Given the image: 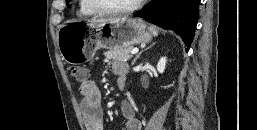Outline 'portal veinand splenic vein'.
<instances>
[{
	"mask_svg": "<svg viewBox=\"0 0 257 130\" xmlns=\"http://www.w3.org/2000/svg\"><path fill=\"white\" fill-rule=\"evenodd\" d=\"M138 52V49H133L132 51H131V54H136Z\"/></svg>",
	"mask_w": 257,
	"mask_h": 130,
	"instance_id": "portal-vein-and-splenic-vein-1",
	"label": "portal vein and splenic vein"
}]
</instances>
